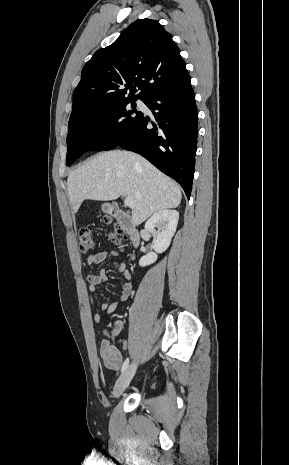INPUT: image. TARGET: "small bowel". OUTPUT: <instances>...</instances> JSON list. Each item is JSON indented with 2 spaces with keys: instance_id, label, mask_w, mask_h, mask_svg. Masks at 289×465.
I'll use <instances>...</instances> for the list:
<instances>
[{
  "instance_id": "1",
  "label": "small bowel",
  "mask_w": 289,
  "mask_h": 465,
  "mask_svg": "<svg viewBox=\"0 0 289 465\" xmlns=\"http://www.w3.org/2000/svg\"><path fill=\"white\" fill-rule=\"evenodd\" d=\"M117 252L114 250H102L96 254H90L87 257V264L91 266H96L102 262L108 260L111 257L117 256ZM115 270L122 274L124 283L121 288V293L118 299L112 302H103L100 306L102 311H106L107 315L112 314L119 303L124 302L128 299L132 291V274L126 267L124 262H114ZM107 279L106 273L104 270H100L98 273H89L87 275L88 289L90 294L96 292L97 286L105 282ZM94 320L97 323L103 321V317L100 312L95 313ZM122 330V323L117 322L112 329V337H116ZM100 357L103 362L112 370H118L123 361V355L120 351L114 348L110 344L109 339H103L100 345Z\"/></svg>"
}]
</instances>
